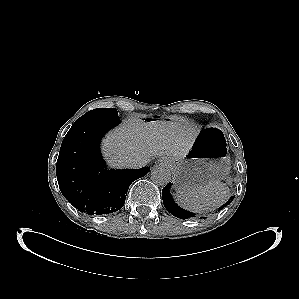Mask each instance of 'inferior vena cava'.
<instances>
[{"mask_svg": "<svg viewBox=\"0 0 299 299\" xmlns=\"http://www.w3.org/2000/svg\"><path fill=\"white\" fill-rule=\"evenodd\" d=\"M149 162V159H132L128 162L127 167L129 168H141Z\"/></svg>", "mask_w": 299, "mask_h": 299, "instance_id": "obj_1", "label": "inferior vena cava"}]
</instances>
